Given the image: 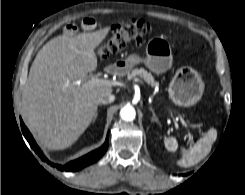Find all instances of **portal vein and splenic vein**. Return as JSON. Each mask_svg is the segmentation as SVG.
Masks as SVG:
<instances>
[{"instance_id":"obj_1","label":"portal vein and splenic vein","mask_w":245,"mask_h":195,"mask_svg":"<svg viewBox=\"0 0 245 195\" xmlns=\"http://www.w3.org/2000/svg\"><path fill=\"white\" fill-rule=\"evenodd\" d=\"M135 81H140L139 79H135ZM90 84L93 86H103V85H112V83L108 80L100 79L99 77H92L90 79ZM76 84H80V81L75 82ZM172 113V112H171ZM177 119L180 120L181 124L184 126V128L187 130L188 134L190 135V128L186 124V122L183 120L180 114H177Z\"/></svg>"}]
</instances>
